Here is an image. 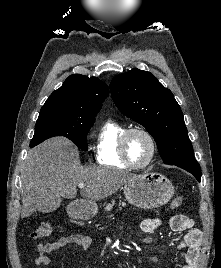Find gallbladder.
Listing matches in <instances>:
<instances>
[{
  "instance_id": "bac80fb5",
  "label": "gallbladder",
  "mask_w": 221,
  "mask_h": 268,
  "mask_svg": "<svg viewBox=\"0 0 221 268\" xmlns=\"http://www.w3.org/2000/svg\"><path fill=\"white\" fill-rule=\"evenodd\" d=\"M36 205V210H40V213H50L55 211L60 204H62V199H38Z\"/></svg>"
}]
</instances>
